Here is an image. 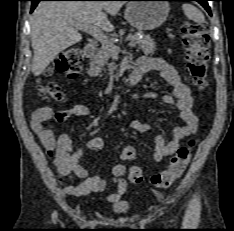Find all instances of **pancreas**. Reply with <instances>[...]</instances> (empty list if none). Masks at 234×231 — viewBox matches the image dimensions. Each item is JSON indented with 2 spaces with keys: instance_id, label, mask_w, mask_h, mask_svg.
<instances>
[{
  "instance_id": "pancreas-1",
  "label": "pancreas",
  "mask_w": 234,
  "mask_h": 231,
  "mask_svg": "<svg viewBox=\"0 0 234 231\" xmlns=\"http://www.w3.org/2000/svg\"><path fill=\"white\" fill-rule=\"evenodd\" d=\"M136 35L137 37H135V35H130V40L135 41L138 44V49H141L144 54L153 55L156 51L154 40L149 35H146L141 31L137 32ZM111 42L114 45V41L111 40ZM114 47L118 48L116 45H114ZM115 53L116 51L113 48H107L102 45L91 59L88 74L94 77L98 76L105 64H107L110 69H116V65L114 63H108L109 59L115 56Z\"/></svg>"
}]
</instances>
